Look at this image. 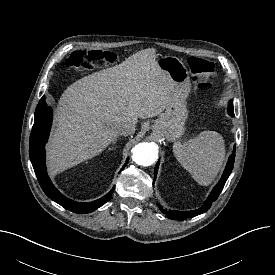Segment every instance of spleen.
<instances>
[{"label":"spleen","instance_id":"spleen-1","mask_svg":"<svg viewBox=\"0 0 275 275\" xmlns=\"http://www.w3.org/2000/svg\"><path fill=\"white\" fill-rule=\"evenodd\" d=\"M174 155L201 185H209L220 171L225 159L223 137L215 131H203L173 146Z\"/></svg>","mask_w":275,"mask_h":275}]
</instances>
